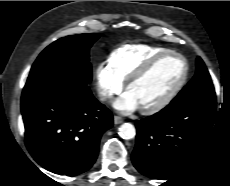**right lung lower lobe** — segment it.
Instances as JSON below:
<instances>
[{"label":"right lung lower lobe","instance_id":"98d812e1","mask_svg":"<svg viewBox=\"0 0 230 186\" xmlns=\"http://www.w3.org/2000/svg\"><path fill=\"white\" fill-rule=\"evenodd\" d=\"M25 143L45 169L68 176L88 170L111 112L92 95L88 83L67 73L27 82L21 97Z\"/></svg>","mask_w":230,"mask_h":186}]
</instances>
